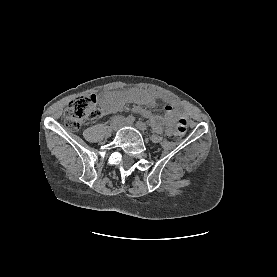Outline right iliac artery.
Returning <instances> with one entry per match:
<instances>
[{
  "label": "right iliac artery",
  "mask_w": 277,
  "mask_h": 277,
  "mask_svg": "<svg viewBox=\"0 0 277 277\" xmlns=\"http://www.w3.org/2000/svg\"><path fill=\"white\" fill-rule=\"evenodd\" d=\"M126 121H127L128 123H133V122L135 121V117L132 116V115H129V116L126 118Z\"/></svg>",
  "instance_id": "82829eb1"
}]
</instances>
